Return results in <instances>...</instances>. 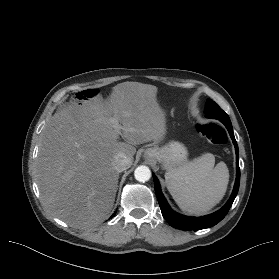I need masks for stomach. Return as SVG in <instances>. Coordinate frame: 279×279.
I'll list each match as a JSON object with an SVG mask.
<instances>
[{
    "instance_id": "0dacf381",
    "label": "stomach",
    "mask_w": 279,
    "mask_h": 279,
    "mask_svg": "<svg viewBox=\"0 0 279 279\" xmlns=\"http://www.w3.org/2000/svg\"><path fill=\"white\" fill-rule=\"evenodd\" d=\"M144 157L161 163L166 170H172L186 162L187 149L183 144L171 141L161 147L154 145L147 148Z\"/></svg>"
}]
</instances>
